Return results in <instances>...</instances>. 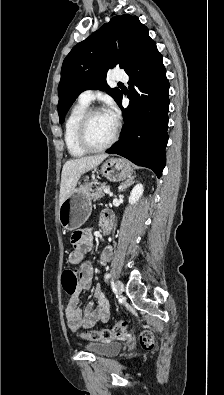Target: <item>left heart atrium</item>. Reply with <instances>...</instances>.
Wrapping results in <instances>:
<instances>
[{"label":"left heart atrium","instance_id":"left-heart-atrium-1","mask_svg":"<svg viewBox=\"0 0 224 395\" xmlns=\"http://www.w3.org/2000/svg\"><path fill=\"white\" fill-rule=\"evenodd\" d=\"M104 113L114 122L116 123L119 117L118 110L113 103H109Z\"/></svg>","mask_w":224,"mask_h":395}]
</instances>
